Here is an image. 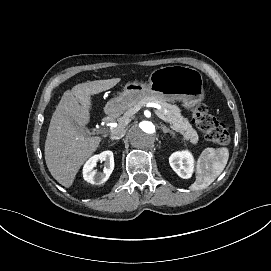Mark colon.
<instances>
[{
  "label": "colon",
  "mask_w": 271,
  "mask_h": 271,
  "mask_svg": "<svg viewBox=\"0 0 271 271\" xmlns=\"http://www.w3.org/2000/svg\"><path fill=\"white\" fill-rule=\"evenodd\" d=\"M192 116L195 124L204 133L208 141L220 145L229 143L230 135L227 127L209 113L206 102L194 106Z\"/></svg>",
  "instance_id": "colon-1"
}]
</instances>
